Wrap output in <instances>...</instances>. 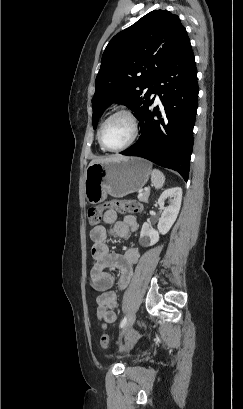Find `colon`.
Returning a JSON list of instances; mask_svg holds the SVG:
<instances>
[{"label":"colon","mask_w":243,"mask_h":409,"mask_svg":"<svg viewBox=\"0 0 243 409\" xmlns=\"http://www.w3.org/2000/svg\"><path fill=\"white\" fill-rule=\"evenodd\" d=\"M114 209L120 214H136L141 212V204L134 199L112 200L102 204L92 206L87 211L88 224L96 226L102 219V214L106 210ZM100 345L104 349L109 348V338L103 334L100 338Z\"/></svg>","instance_id":"colon-1"}]
</instances>
